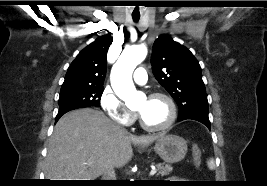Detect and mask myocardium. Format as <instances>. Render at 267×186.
<instances>
[{"instance_id": "obj_1", "label": "myocardium", "mask_w": 267, "mask_h": 186, "mask_svg": "<svg viewBox=\"0 0 267 186\" xmlns=\"http://www.w3.org/2000/svg\"><path fill=\"white\" fill-rule=\"evenodd\" d=\"M148 98H162V99H164L169 106L170 113H169V117H168L167 121L164 124H162L161 126H149V125H147L143 121L140 114L137 113L138 122H139V125L141 126V128L144 129L145 131H148V132H161V131H164V130L170 128L177 118V107H176V104H175L174 100L172 99V97H170L168 94L163 93V92H153L149 95Z\"/></svg>"}]
</instances>
